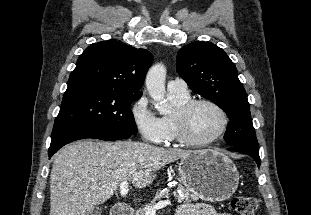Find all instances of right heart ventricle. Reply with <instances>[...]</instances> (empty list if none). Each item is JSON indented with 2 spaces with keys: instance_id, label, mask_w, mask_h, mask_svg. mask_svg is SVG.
I'll list each match as a JSON object with an SVG mask.
<instances>
[{
  "instance_id": "1",
  "label": "right heart ventricle",
  "mask_w": 311,
  "mask_h": 215,
  "mask_svg": "<svg viewBox=\"0 0 311 215\" xmlns=\"http://www.w3.org/2000/svg\"><path fill=\"white\" fill-rule=\"evenodd\" d=\"M168 97L175 108H178L179 106L185 104L191 99L189 93L179 94L168 92ZM162 119L164 120L168 128L169 136L167 141L178 140L176 126L173 121V115L164 116L162 117Z\"/></svg>"
}]
</instances>
